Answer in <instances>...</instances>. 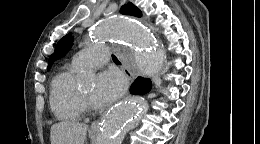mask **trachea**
Listing matches in <instances>:
<instances>
[{
	"label": "trachea",
	"instance_id": "1",
	"mask_svg": "<svg viewBox=\"0 0 260 144\" xmlns=\"http://www.w3.org/2000/svg\"><path fill=\"white\" fill-rule=\"evenodd\" d=\"M112 60L115 62V63H119V60L117 59V57L115 55H112Z\"/></svg>",
	"mask_w": 260,
	"mask_h": 144
}]
</instances>
